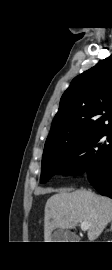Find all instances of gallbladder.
Listing matches in <instances>:
<instances>
[{"label": "gallbladder", "mask_w": 112, "mask_h": 270, "mask_svg": "<svg viewBox=\"0 0 112 270\" xmlns=\"http://www.w3.org/2000/svg\"><path fill=\"white\" fill-rule=\"evenodd\" d=\"M76 239H78V237H76L74 234L62 229H57L52 234V242H71L72 240Z\"/></svg>", "instance_id": "gallbladder-1"}]
</instances>
